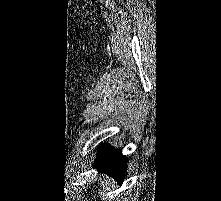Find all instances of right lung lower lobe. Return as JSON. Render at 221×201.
I'll return each mask as SVG.
<instances>
[{"mask_svg": "<svg viewBox=\"0 0 221 201\" xmlns=\"http://www.w3.org/2000/svg\"><path fill=\"white\" fill-rule=\"evenodd\" d=\"M99 153L95 160V165L100 172L117 179L120 183L125 178L127 159L121 154V151L110 148L107 144L101 145Z\"/></svg>", "mask_w": 221, "mask_h": 201, "instance_id": "1", "label": "right lung lower lobe"}]
</instances>
